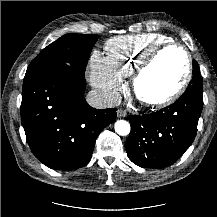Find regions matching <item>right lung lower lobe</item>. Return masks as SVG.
Returning <instances> with one entry per match:
<instances>
[{"mask_svg":"<svg viewBox=\"0 0 217 217\" xmlns=\"http://www.w3.org/2000/svg\"><path fill=\"white\" fill-rule=\"evenodd\" d=\"M85 87L84 75L63 61L24 77L20 110L26 139L36 158L51 169L85 166L96 138L116 119V109L87 104Z\"/></svg>","mask_w":217,"mask_h":217,"instance_id":"1","label":"right lung lower lobe"}]
</instances>
